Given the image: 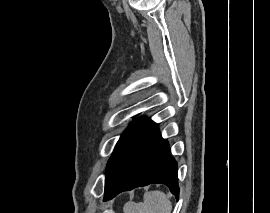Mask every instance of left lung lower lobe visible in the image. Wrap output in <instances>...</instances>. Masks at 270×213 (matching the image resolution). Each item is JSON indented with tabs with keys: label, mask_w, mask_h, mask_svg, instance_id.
Here are the masks:
<instances>
[{
	"label": "left lung lower lobe",
	"mask_w": 270,
	"mask_h": 213,
	"mask_svg": "<svg viewBox=\"0 0 270 213\" xmlns=\"http://www.w3.org/2000/svg\"><path fill=\"white\" fill-rule=\"evenodd\" d=\"M164 183L179 197L177 163L157 124L145 119L117 154L105 178L104 201L120 192Z\"/></svg>",
	"instance_id": "obj_1"
}]
</instances>
